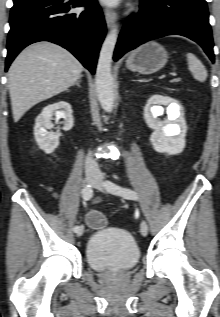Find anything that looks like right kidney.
I'll return each instance as SVG.
<instances>
[{"label": "right kidney", "instance_id": "obj_1", "mask_svg": "<svg viewBox=\"0 0 220 317\" xmlns=\"http://www.w3.org/2000/svg\"><path fill=\"white\" fill-rule=\"evenodd\" d=\"M56 119L63 118V130L69 131L74 125L71 105L65 101L50 104L43 108L41 114L35 120L34 137L37 145L45 153H52L59 145L60 132H48L53 127L52 116Z\"/></svg>", "mask_w": 220, "mask_h": 317}]
</instances>
